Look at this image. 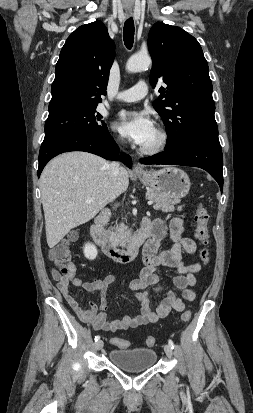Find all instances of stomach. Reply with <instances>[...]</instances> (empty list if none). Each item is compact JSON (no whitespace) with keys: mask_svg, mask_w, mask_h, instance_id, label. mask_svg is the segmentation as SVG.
I'll list each match as a JSON object with an SVG mask.
<instances>
[{"mask_svg":"<svg viewBox=\"0 0 253 413\" xmlns=\"http://www.w3.org/2000/svg\"><path fill=\"white\" fill-rule=\"evenodd\" d=\"M150 189L173 199L185 197L191 187L189 176L180 168L165 166L160 170L145 171L138 175Z\"/></svg>","mask_w":253,"mask_h":413,"instance_id":"stomach-1","label":"stomach"}]
</instances>
